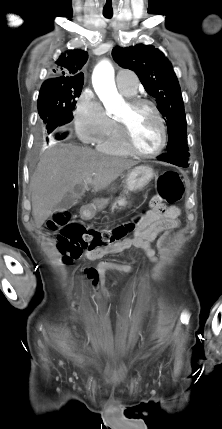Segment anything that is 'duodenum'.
<instances>
[{
  "mask_svg": "<svg viewBox=\"0 0 222 429\" xmlns=\"http://www.w3.org/2000/svg\"><path fill=\"white\" fill-rule=\"evenodd\" d=\"M88 208H91V205H87Z\"/></svg>",
  "mask_w": 222,
  "mask_h": 429,
  "instance_id": "obj_1",
  "label": "duodenum"
}]
</instances>
